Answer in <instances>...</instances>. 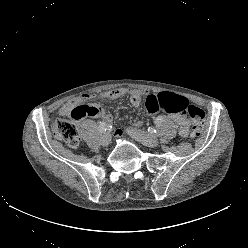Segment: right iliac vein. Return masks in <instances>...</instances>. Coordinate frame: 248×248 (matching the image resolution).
<instances>
[{"label": "right iliac vein", "instance_id": "63e3f726", "mask_svg": "<svg viewBox=\"0 0 248 248\" xmlns=\"http://www.w3.org/2000/svg\"><path fill=\"white\" fill-rule=\"evenodd\" d=\"M111 142V136L109 133H104L100 138V144L102 146H108Z\"/></svg>", "mask_w": 248, "mask_h": 248}]
</instances>
